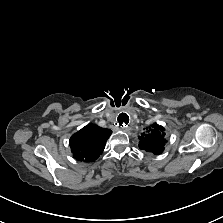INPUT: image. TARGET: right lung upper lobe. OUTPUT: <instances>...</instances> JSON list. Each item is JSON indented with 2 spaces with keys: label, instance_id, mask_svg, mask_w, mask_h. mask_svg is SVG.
I'll list each match as a JSON object with an SVG mask.
<instances>
[{
  "label": "right lung upper lobe",
  "instance_id": "1",
  "mask_svg": "<svg viewBox=\"0 0 223 223\" xmlns=\"http://www.w3.org/2000/svg\"><path fill=\"white\" fill-rule=\"evenodd\" d=\"M112 131L97 125L88 124L70 138L71 152L75 159L93 162L103 152L105 143Z\"/></svg>",
  "mask_w": 223,
  "mask_h": 223
}]
</instances>
